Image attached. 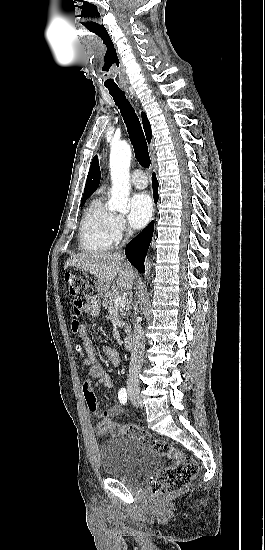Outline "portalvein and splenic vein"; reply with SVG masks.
<instances>
[{
    "mask_svg": "<svg viewBox=\"0 0 265 550\" xmlns=\"http://www.w3.org/2000/svg\"><path fill=\"white\" fill-rule=\"evenodd\" d=\"M127 303H128V299L122 296L117 297L114 301L115 307H122V306H125Z\"/></svg>",
    "mask_w": 265,
    "mask_h": 550,
    "instance_id": "18ae733b",
    "label": "portal vein and splenic vein"
}]
</instances>
